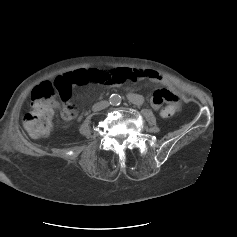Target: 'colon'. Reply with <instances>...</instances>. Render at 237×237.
I'll return each mask as SVG.
<instances>
[{"mask_svg":"<svg viewBox=\"0 0 237 237\" xmlns=\"http://www.w3.org/2000/svg\"><path fill=\"white\" fill-rule=\"evenodd\" d=\"M117 77L114 71L101 70H77L72 73L57 77L53 82H44L36 87L31 95V111L28 112L23 124L27 132L34 138L48 135L53 124V107L55 97L59 96L65 103L69 114L75 112V108L69 103L74 86L88 83H104ZM177 108L168 105L160 110L162 118H168L175 114Z\"/></svg>","mask_w":237,"mask_h":237,"instance_id":"colon-1","label":"colon"}]
</instances>
